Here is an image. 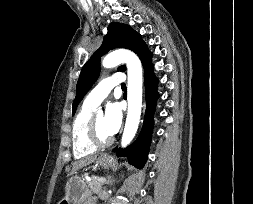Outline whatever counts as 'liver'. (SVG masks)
<instances>
[{
    "label": "liver",
    "instance_id": "1",
    "mask_svg": "<svg viewBox=\"0 0 253 204\" xmlns=\"http://www.w3.org/2000/svg\"><path fill=\"white\" fill-rule=\"evenodd\" d=\"M97 159V156L96 155H92V156H87L85 158H82L78 161H75L73 164H72V171H71V174L75 173L77 170L87 166V165H90L91 163L95 162Z\"/></svg>",
    "mask_w": 253,
    "mask_h": 204
}]
</instances>
